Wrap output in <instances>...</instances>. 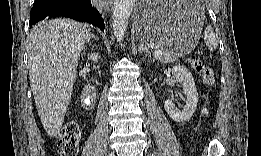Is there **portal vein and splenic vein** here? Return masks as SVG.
Instances as JSON below:
<instances>
[{
    "label": "portal vein and splenic vein",
    "instance_id": "1",
    "mask_svg": "<svg viewBox=\"0 0 261 156\" xmlns=\"http://www.w3.org/2000/svg\"><path fill=\"white\" fill-rule=\"evenodd\" d=\"M163 54L162 50L158 49L154 52V57L159 58Z\"/></svg>",
    "mask_w": 261,
    "mask_h": 156
}]
</instances>
